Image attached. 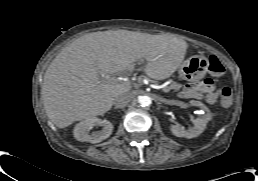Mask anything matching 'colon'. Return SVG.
Returning <instances> with one entry per match:
<instances>
[{
    "label": "colon",
    "instance_id": "obj_1",
    "mask_svg": "<svg viewBox=\"0 0 258 181\" xmlns=\"http://www.w3.org/2000/svg\"><path fill=\"white\" fill-rule=\"evenodd\" d=\"M208 68H209V71L215 76H221L225 71L224 66L219 61V59L215 56H211L209 58ZM232 101H233V98H232L231 89L229 87H223L221 89V104L224 107H229L231 106Z\"/></svg>",
    "mask_w": 258,
    "mask_h": 181
}]
</instances>
